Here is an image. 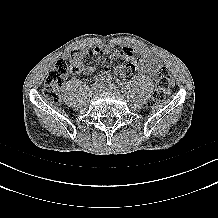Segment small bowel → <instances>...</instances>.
Returning a JSON list of instances; mask_svg holds the SVG:
<instances>
[{
    "label": "small bowel",
    "instance_id": "small-bowel-1",
    "mask_svg": "<svg viewBox=\"0 0 218 218\" xmlns=\"http://www.w3.org/2000/svg\"><path fill=\"white\" fill-rule=\"evenodd\" d=\"M108 54H111L113 61L125 62L123 65H120L122 67V72L117 75L119 78H125L136 70L151 77H155L160 67L158 57L149 51L103 44L98 47L73 52L71 54V72L73 74L83 72L84 75H90L93 71V67H84V59L86 57L96 56V64H98L100 60ZM137 54H139L140 57H137ZM98 77H103V75L98 74L96 78Z\"/></svg>",
    "mask_w": 218,
    "mask_h": 218
}]
</instances>
